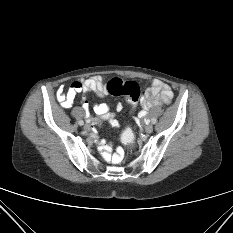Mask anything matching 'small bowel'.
<instances>
[{"label":"small bowel","instance_id":"small-bowel-1","mask_svg":"<svg viewBox=\"0 0 233 233\" xmlns=\"http://www.w3.org/2000/svg\"><path fill=\"white\" fill-rule=\"evenodd\" d=\"M94 91L101 96L109 95L107 84L101 76H94L85 80L73 81L68 89L60 86L57 90V99L63 108H70L74 102L75 97L81 92ZM173 91L171 87L159 79H153L151 85L146 91L145 95L140 100L141 110L138 112L139 118H144L147 115L148 109L155 105H167L171 102ZM82 109L86 118L93 122L98 123L101 120L107 121L110 126L117 127L118 120L116 113L123 109L121 103L116 105L115 110L105 104H94V114L89 112V102L86 97L82 98ZM124 151L121 147H114L112 145L104 146V156L107 160L118 163L122 160Z\"/></svg>","mask_w":233,"mask_h":233}]
</instances>
